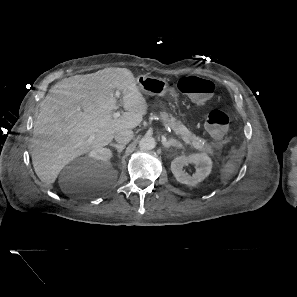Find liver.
<instances>
[{
    "label": "liver",
    "instance_id": "1",
    "mask_svg": "<svg viewBox=\"0 0 297 297\" xmlns=\"http://www.w3.org/2000/svg\"><path fill=\"white\" fill-rule=\"evenodd\" d=\"M122 92L126 112L114 118ZM148 105L133 73L105 68L92 74L65 78L50 89L34 122L31 157L38 178L49 188L60 171L76 157L107 146L115 134L136 128Z\"/></svg>",
    "mask_w": 297,
    "mask_h": 297
}]
</instances>
